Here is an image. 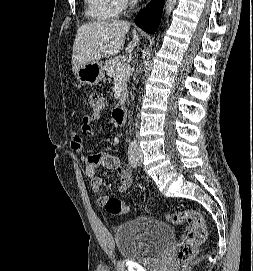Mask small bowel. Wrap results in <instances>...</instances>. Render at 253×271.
<instances>
[{
  "label": "small bowel",
  "mask_w": 253,
  "mask_h": 271,
  "mask_svg": "<svg viewBox=\"0 0 253 271\" xmlns=\"http://www.w3.org/2000/svg\"><path fill=\"white\" fill-rule=\"evenodd\" d=\"M100 118L99 113L86 115L82 119L79 130H71L69 135L70 148L85 165V173L91 182V186L97 195V202L103 206L104 202L110 197L101 191L102 179L97 175L99 168L115 170L120 177V183L117 187V193H125L131 185V170L121 163L120 159L109 152H99L86 155L83 151V143L94 135L93 124Z\"/></svg>",
  "instance_id": "obj_1"
}]
</instances>
